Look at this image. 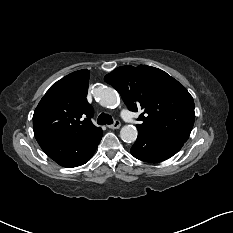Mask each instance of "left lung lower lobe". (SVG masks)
<instances>
[{
	"mask_svg": "<svg viewBox=\"0 0 233 233\" xmlns=\"http://www.w3.org/2000/svg\"><path fill=\"white\" fill-rule=\"evenodd\" d=\"M183 144L184 142L181 141L138 131V137L131 148V154L145 162H161L177 153Z\"/></svg>",
	"mask_w": 233,
	"mask_h": 233,
	"instance_id": "left-lung-lower-lobe-1",
	"label": "left lung lower lobe"
}]
</instances>
